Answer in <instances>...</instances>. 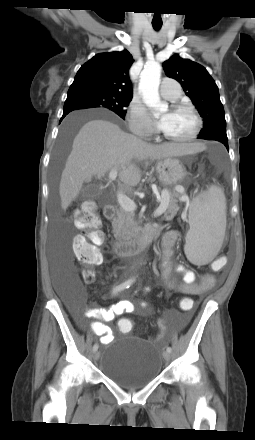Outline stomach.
<instances>
[{
	"label": "stomach",
	"instance_id": "1",
	"mask_svg": "<svg viewBox=\"0 0 255 440\" xmlns=\"http://www.w3.org/2000/svg\"><path fill=\"white\" fill-rule=\"evenodd\" d=\"M158 179L165 186H173L180 182L185 177L186 169L179 159L168 157L159 160L156 166Z\"/></svg>",
	"mask_w": 255,
	"mask_h": 440
}]
</instances>
